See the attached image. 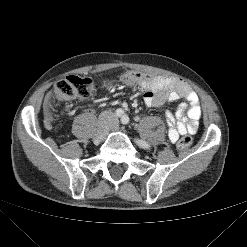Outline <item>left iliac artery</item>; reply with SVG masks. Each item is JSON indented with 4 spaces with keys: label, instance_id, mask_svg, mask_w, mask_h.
Listing matches in <instances>:
<instances>
[{
    "label": "left iliac artery",
    "instance_id": "left-iliac-artery-1",
    "mask_svg": "<svg viewBox=\"0 0 247 247\" xmlns=\"http://www.w3.org/2000/svg\"><path fill=\"white\" fill-rule=\"evenodd\" d=\"M121 123L126 125L129 123V117L127 115H123L122 118H121ZM138 141V144L144 148V149H148L150 147V145L144 141V140H137Z\"/></svg>",
    "mask_w": 247,
    "mask_h": 247
}]
</instances>
